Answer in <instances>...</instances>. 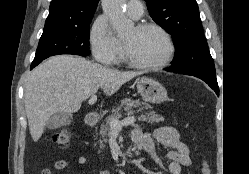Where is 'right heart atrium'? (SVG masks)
Instances as JSON below:
<instances>
[{"label": "right heart atrium", "instance_id": "right-heart-atrium-1", "mask_svg": "<svg viewBox=\"0 0 249 174\" xmlns=\"http://www.w3.org/2000/svg\"><path fill=\"white\" fill-rule=\"evenodd\" d=\"M91 48L95 59L101 63H114L120 56V46L112 36L108 22L100 17L92 25Z\"/></svg>", "mask_w": 249, "mask_h": 174}]
</instances>
